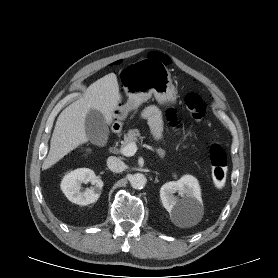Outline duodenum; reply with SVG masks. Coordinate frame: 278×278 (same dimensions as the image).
I'll return each mask as SVG.
<instances>
[{
  "mask_svg": "<svg viewBox=\"0 0 278 278\" xmlns=\"http://www.w3.org/2000/svg\"><path fill=\"white\" fill-rule=\"evenodd\" d=\"M120 131V127L118 125H114L113 127V133L117 134Z\"/></svg>",
  "mask_w": 278,
  "mask_h": 278,
  "instance_id": "410a0bca",
  "label": "duodenum"
}]
</instances>
